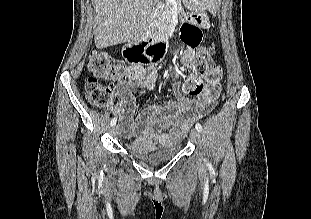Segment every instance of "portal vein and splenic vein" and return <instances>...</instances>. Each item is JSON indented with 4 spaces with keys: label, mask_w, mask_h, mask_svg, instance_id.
Returning a JSON list of instances; mask_svg holds the SVG:
<instances>
[{
    "label": "portal vein and splenic vein",
    "mask_w": 311,
    "mask_h": 219,
    "mask_svg": "<svg viewBox=\"0 0 311 219\" xmlns=\"http://www.w3.org/2000/svg\"><path fill=\"white\" fill-rule=\"evenodd\" d=\"M168 2H170L173 7H175V8L177 7L175 0H168Z\"/></svg>",
    "instance_id": "portal-vein-and-splenic-vein-1"
}]
</instances>
